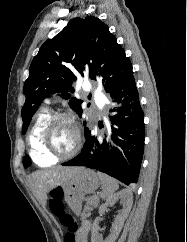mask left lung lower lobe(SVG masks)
Listing matches in <instances>:
<instances>
[{
	"mask_svg": "<svg viewBox=\"0 0 187 242\" xmlns=\"http://www.w3.org/2000/svg\"><path fill=\"white\" fill-rule=\"evenodd\" d=\"M117 104L111 110V125L105 136L97 138L89 131L81 152L65 166H85L106 173L129 185L137 183L144 152V113L134 76L110 93Z\"/></svg>",
	"mask_w": 187,
	"mask_h": 242,
	"instance_id": "0a47b994",
	"label": "left lung lower lobe"
}]
</instances>
